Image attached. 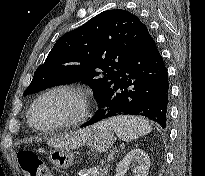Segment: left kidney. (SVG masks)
Masks as SVG:
<instances>
[{
    "instance_id": "obj_1",
    "label": "left kidney",
    "mask_w": 205,
    "mask_h": 176,
    "mask_svg": "<svg viewBox=\"0 0 205 176\" xmlns=\"http://www.w3.org/2000/svg\"><path fill=\"white\" fill-rule=\"evenodd\" d=\"M137 166L134 176H148L150 167L149 156L141 149H133L125 155L116 167L115 176H124L125 172L133 166Z\"/></svg>"
}]
</instances>
